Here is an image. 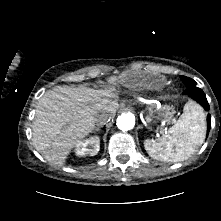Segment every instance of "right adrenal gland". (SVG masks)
<instances>
[{
	"label": "right adrenal gland",
	"mask_w": 221,
	"mask_h": 221,
	"mask_svg": "<svg viewBox=\"0 0 221 221\" xmlns=\"http://www.w3.org/2000/svg\"><path fill=\"white\" fill-rule=\"evenodd\" d=\"M100 131V127H96L93 132Z\"/></svg>",
	"instance_id": "1"
}]
</instances>
